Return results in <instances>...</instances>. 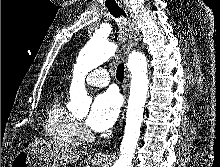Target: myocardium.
Masks as SVG:
<instances>
[{"mask_svg": "<svg viewBox=\"0 0 220 167\" xmlns=\"http://www.w3.org/2000/svg\"><path fill=\"white\" fill-rule=\"evenodd\" d=\"M81 137L83 139H92L90 133L88 131H85V130L82 132Z\"/></svg>", "mask_w": 220, "mask_h": 167, "instance_id": "1", "label": "myocardium"}]
</instances>
